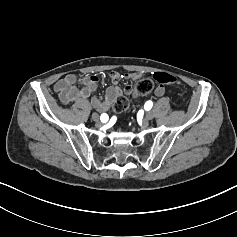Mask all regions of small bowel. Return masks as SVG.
I'll list each match as a JSON object with an SVG mask.
<instances>
[{
	"label": "small bowel",
	"instance_id": "c3829d8e",
	"mask_svg": "<svg viewBox=\"0 0 237 237\" xmlns=\"http://www.w3.org/2000/svg\"><path fill=\"white\" fill-rule=\"evenodd\" d=\"M141 73L120 74L112 72L110 79L112 85L107 88L103 98L95 95L99 84V77L96 75L86 76L82 78L80 86H77L78 79L75 74H67L54 85V90L58 94L59 100L63 105L79 104L90 98L89 105L96 109L98 113L108 112L116 98L121 94L119 83L122 79L137 80L141 77ZM166 88L163 84H159L155 89L157 96H163Z\"/></svg>",
	"mask_w": 237,
	"mask_h": 237
}]
</instances>
